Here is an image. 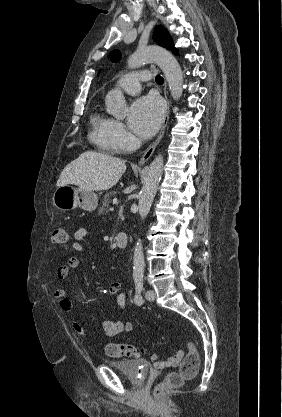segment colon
<instances>
[{"mask_svg": "<svg viewBox=\"0 0 282 417\" xmlns=\"http://www.w3.org/2000/svg\"><path fill=\"white\" fill-rule=\"evenodd\" d=\"M68 241V234L66 229L61 225H56L50 234V243L55 248L64 247ZM187 358L184 359V365L181 369L177 368L178 360L182 357V350L175 349L174 353L160 358L157 354H152V360L155 362L157 367L171 368L176 367L178 372L168 374L165 379H161L159 384H154L153 389L149 390V397L151 403H164V393H170L171 388L175 389L182 385L184 380L193 378L200 369V355L192 341H186ZM142 354V350L133 345H125L124 347H113L105 348L106 356H129L139 357Z\"/></svg>", "mask_w": 282, "mask_h": 417, "instance_id": "1", "label": "colon"}]
</instances>
